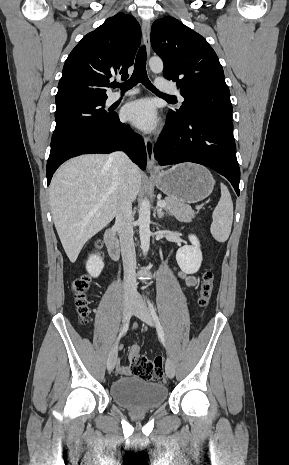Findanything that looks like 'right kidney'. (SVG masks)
I'll return each instance as SVG.
<instances>
[{"instance_id": "obj_1", "label": "right kidney", "mask_w": 289, "mask_h": 465, "mask_svg": "<svg viewBox=\"0 0 289 465\" xmlns=\"http://www.w3.org/2000/svg\"><path fill=\"white\" fill-rule=\"evenodd\" d=\"M104 268V262L102 260V258L96 254H92L90 255L88 261H87V264H86V269L88 271V273L92 276V277H98L101 273V271L103 270Z\"/></svg>"}]
</instances>
